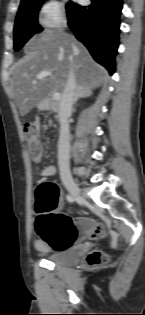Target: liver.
Returning <instances> with one entry per match:
<instances>
[{
  "instance_id": "liver-1",
  "label": "liver",
  "mask_w": 145,
  "mask_h": 315,
  "mask_svg": "<svg viewBox=\"0 0 145 315\" xmlns=\"http://www.w3.org/2000/svg\"><path fill=\"white\" fill-rule=\"evenodd\" d=\"M25 56L15 65L11 87L21 116L26 115L50 94L63 91L70 69L76 81L87 89L97 88L104 81L106 71L97 65L87 49L67 33L48 31L31 38L25 46ZM49 71L52 76L37 79Z\"/></svg>"
}]
</instances>
